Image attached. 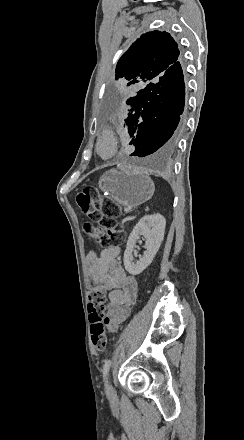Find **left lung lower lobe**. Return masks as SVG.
Masks as SVG:
<instances>
[{
    "label": "left lung lower lobe",
    "instance_id": "1",
    "mask_svg": "<svg viewBox=\"0 0 244 440\" xmlns=\"http://www.w3.org/2000/svg\"><path fill=\"white\" fill-rule=\"evenodd\" d=\"M131 105L126 118L130 135L138 129L132 156L144 157L156 151L169 152L179 142L185 128L181 116L185 104L183 71L178 61L156 81L127 99Z\"/></svg>",
    "mask_w": 244,
    "mask_h": 440
}]
</instances>
